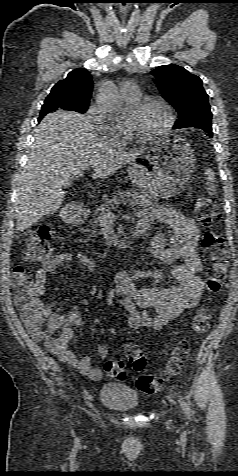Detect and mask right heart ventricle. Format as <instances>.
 I'll list each match as a JSON object with an SVG mask.
<instances>
[{
    "mask_svg": "<svg viewBox=\"0 0 238 476\" xmlns=\"http://www.w3.org/2000/svg\"><path fill=\"white\" fill-rule=\"evenodd\" d=\"M127 102H128V101H127ZM128 103H130V104H134V103H136V102H128Z\"/></svg>",
    "mask_w": 238,
    "mask_h": 476,
    "instance_id": "1",
    "label": "right heart ventricle"
}]
</instances>
